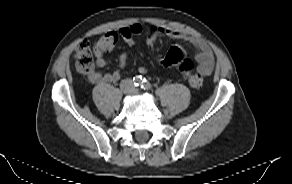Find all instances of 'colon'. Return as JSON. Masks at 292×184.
<instances>
[{
  "mask_svg": "<svg viewBox=\"0 0 292 184\" xmlns=\"http://www.w3.org/2000/svg\"><path fill=\"white\" fill-rule=\"evenodd\" d=\"M161 29L150 27L146 33V43L150 50L154 51L158 48ZM118 35L115 32H109L101 36L91 48L87 40L79 42L75 49V62L79 71L90 73L94 70L96 60L95 56L110 51L116 44ZM164 67L177 66L188 83L193 88H201L203 78L200 74L193 73V62L186 58L180 47H171L166 55L159 60Z\"/></svg>",
  "mask_w": 292,
  "mask_h": 184,
  "instance_id": "5ec220e1",
  "label": "colon"
}]
</instances>
